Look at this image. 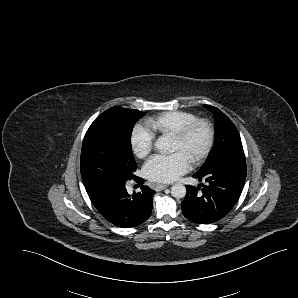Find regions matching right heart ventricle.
Returning a JSON list of instances; mask_svg holds the SVG:
<instances>
[{
  "label": "right heart ventricle",
  "mask_w": 298,
  "mask_h": 298,
  "mask_svg": "<svg viewBox=\"0 0 298 298\" xmlns=\"http://www.w3.org/2000/svg\"><path fill=\"white\" fill-rule=\"evenodd\" d=\"M197 115L186 111H169L145 120V124L159 136H164L177 127L192 122Z\"/></svg>",
  "instance_id": "obj_1"
}]
</instances>
